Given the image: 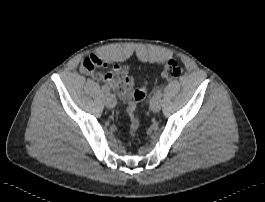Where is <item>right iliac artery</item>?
Listing matches in <instances>:
<instances>
[{"label":"right iliac artery","mask_w":265,"mask_h":202,"mask_svg":"<svg viewBox=\"0 0 265 202\" xmlns=\"http://www.w3.org/2000/svg\"><path fill=\"white\" fill-rule=\"evenodd\" d=\"M102 91H103L105 94H109V88H108V86H106V85H102Z\"/></svg>","instance_id":"82829eb1"}]
</instances>
